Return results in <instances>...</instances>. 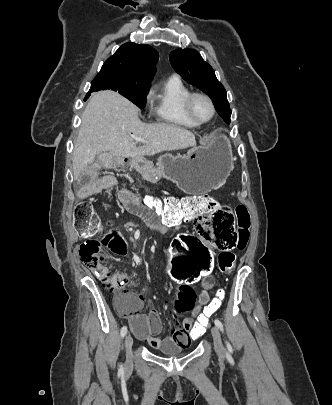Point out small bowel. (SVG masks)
Here are the masks:
<instances>
[{
  "label": "small bowel",
  "instance_id": "1",
  "mask_svg": "<svg viewBox=\"0 0 332 405\" xmlns=\"http://www.w3.org/2000/svg\"><path fill=\"white\" fill-rule=\"evenodd\" d=\"M134 167L139 171H146L153 168V162L138 156L133 159ZM102 172H96L94 168H85L83 172L79 173V177L75 178L76 186H97L99 181H102ZM104 184L107 188H112L116 184V179L112 175L104 177ZM118 199L126 211L141 218L146 225L155 229L157 232L164 233L163 226L157 220L154 212L145 206V202L135 195L127 187H123L118 194ZM107 213H112V208H107ZM117 213H122V208H117ZM182 223L185 225L188 220ZM176 240V239H175ZM170 255H174L173 242L171 245ZM132 259L139 265L146 266V261L142 258L137 251H133ZM101 277L105 279L103 273ZM118 281L122 286L132 283L130 276L127 273H122L117 276ZM200 285V292L195 295L193 287H181L178 299L174 302V311L190 312L193 317L197 318V312L202 311L203 307H210L209 292L214 287V277L208 275L207 281L197 282ZM134 299L130 303H123L118 305L116 301V308L122 315L128 317L132 332L141 340H145L148 344L156 350L163 351V353H180V348H186L189 344L190 330L194 329V321L192 317H187L183 321L181 327L174 330L172 336L160 339L157 336L163 329V323L159 313L152 309L148 314H143L140 311L144 306V300L141 296L133 294Z\"/></svg>",
  "mask_w": 332,
  "mask_h": 405
}]
</instances>
